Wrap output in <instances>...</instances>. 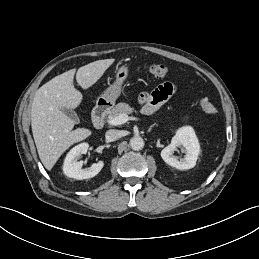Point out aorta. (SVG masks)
Returning <instances> with one entry per match:
<instances>
[{"mask_svg": "<svg viewBox=\"0 0 259 259\" xmlns=\"http://www.w3.org/2000/svg\"><path fill=\"white\" fill-rule=\"evenodd\" d=\"M130 147L135 150L139 151L144 147V140L140 136H134L130 139Z\"/></svg>", "mask_w": 259, "mask_h": 259, "instance_id": "aorta-1", "label": "aorta"}]
</instances>
